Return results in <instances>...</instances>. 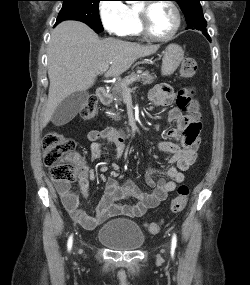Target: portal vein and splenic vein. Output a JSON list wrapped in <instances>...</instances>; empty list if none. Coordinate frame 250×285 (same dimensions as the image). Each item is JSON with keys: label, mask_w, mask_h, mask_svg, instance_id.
Instances as JSON below:
<instances>
[{"label": "portal vein and splenic vein", "mask_w": 250, "mask_h": 285, "mask_svg": "<svg viewBox=\"0 0 250 285\" xmlns=\"http://www.w3.org/2000/svg\"><path fill=\"white\" fill-rule=\"evenodd\" d=\"M108 67H109V65H105V66L101 67L100 70H99V72H98V74H102V73L106 72L107 69H108ZM135 80H136L135 78H132V79L129 80L128 82L130 83V82H133V81H135ZM124 86H125V85H124ZM125 89H126V91L129 90L127 87H125Z\"/></svg>", "instance_id": "18ae733b"}]
</instances>
